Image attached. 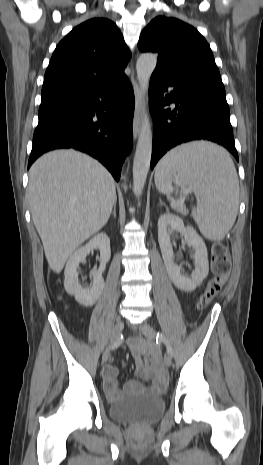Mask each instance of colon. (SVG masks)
I'll return each mask as SVG.
<instances>
[{
  "label": "colon",
  "mask_w": 263,
  "mask_h": 465,
  "mask_svg": "<svg viewBox=\"0 0 263 465\" xmlns=\"http://www.w3.org/2000/svg\"><path fill=\"white\" fill-rule=\"evenodd\" d=\"M211 270L212 278L199 299V307L204 308L221 292L231 270V262L227 248L220 242L211 246Z\"/></svg>",
  "instance_id": "colon-1"
}]
</instances>
